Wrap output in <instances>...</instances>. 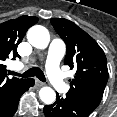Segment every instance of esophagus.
Returning a JSON list of instances; mask_svg holds the SVG:
<instances>
[{
	"mask_svg": "<svg viewBox=\"0 0 117 117\" xmlns=\"http://www.w3.org/2000/svg\"><path fill=\"white\" fill-rule=\"evenodd\" d=\"M42 86H44V83L39 80H36V87L40 88Z\"/></svg>",
	"mask_w": 117,
	"mask_h": 117,
	"instance_id": "1",
	"label": "esophagus"
}]
</instances>
